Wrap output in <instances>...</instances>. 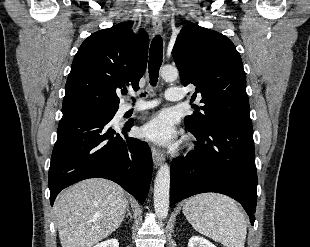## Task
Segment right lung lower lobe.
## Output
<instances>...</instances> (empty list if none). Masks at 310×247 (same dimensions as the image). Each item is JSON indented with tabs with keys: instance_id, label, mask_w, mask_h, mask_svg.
Instances as JSON below:
<instances>
[{
	"instance_id": "obj_1",
	"label": "right lung lower lobe",
	"mask_w": 310,
	"mask_h": 247,
	"mask_svg": "<svg viewBox=\"0 0 310 247\" xmlns=\"http://www.w3.org/2000/svg\"><path fill=\"white\" fill-rule=\"evenodd\" d=\"M113 117H62L49 168L51 205L62 189L95 177L118 183L143 204L152 175L150 148L127 136L133 122L112 127Z\"/></svg>"
}]
</instances>
